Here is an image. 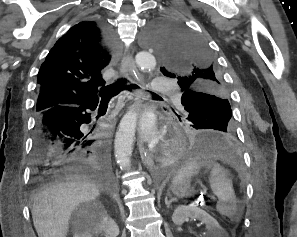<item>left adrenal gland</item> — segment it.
I'll use <instances>...</instances> for the list:
<instances>
[{"label":"left adrenal gland","instance_id":"obj_1","mask_svg":"<svg viewBox=\"0 0 297 237\" xmlns=\"http://www.w3.org/2000/svg\"><path fill=\"white\" fill-rule=\"evenodd\" d=\"M167 196L171 197L170 192L167 193ZM167 196L165 197V204H166L167 208H169L170 205H171V203L174 202V201H176V199L175 198H171V200L168 201V197Z\"/></svg>","mask_w":297,"mask_h":237}]
</instances>
